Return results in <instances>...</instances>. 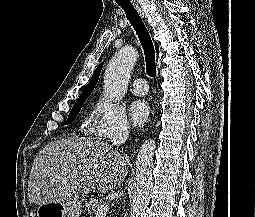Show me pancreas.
<instances>
[{
	"mask_svg": "<svg viewBox=\"0 0 255 217\" xmlns=\"http://www.w3.org/2000/svg\"><path fill=\"white\" fill-rule=\"evenodd\" d=\"M101 202L102 201L100 199L91 197L89 201L85 202V208L88 211V213L94 214L98 210Z\"/></svg>",
	"mask_w": 255,
	"mask_h": 217,
	"instance_id": "pancreas-1",
	"label": "pancreas"
}]
</instances>
